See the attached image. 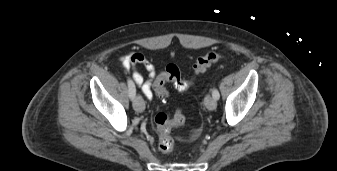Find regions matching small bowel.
<instances>
[{
  "mask_svg": "<svg viewBox=\"0 0 337 171\" xmlns=\"http://www.w3.org/2000/svg\"><path fill=\"white\" fill-rule=\"evenodd\" d=\"M120 64L125 71L132 72L134 81L144 96L147 99H152L153 87L160 74L156 72L154 66L147 61L145 56L139 52H131L120 58ZM139 66L145 69L147 78L138 70Z\"/></svg>",
  "mask_w": 337,
  "mask_h": 171,
  "instance_id": "1",
  "label": "small bowel"
}]
</instances>
